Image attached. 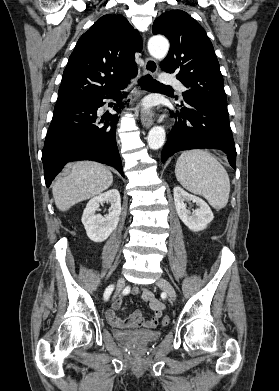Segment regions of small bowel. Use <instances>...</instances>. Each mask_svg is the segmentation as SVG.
I'll return each mask as SVG.
<instances>
[{"label": "small bowel", "mask_w": 279, "mask_h": 391, "mask_svg": "<svg viewBox=\"0 0 279 391\" xmlns=\"http://www.w3.org/2000/svg\"><path fill=\"white\" fill-rule=\"evenodd\" d=\"M132 295L140 294L146 301L152 311L149 319H144L140 311L133 312L127 319H120L116 316L115 311L122 305V300L117 299L105 313L107 321L116 328H155L162 315L163 304L149 290L133 288L129 292Z\"/></svg>", "instance_id": "obj_1"}]
</instances>
